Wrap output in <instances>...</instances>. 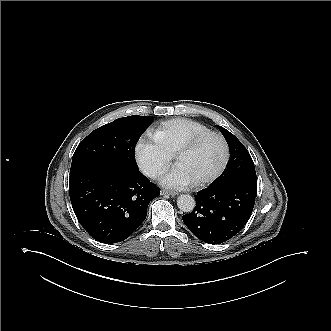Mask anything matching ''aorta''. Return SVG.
Segmentation results:
<instances>
[{
  "label": "aorta",
  "instance_id": "aorta-1",
  "mask_svg": "<svg viewBox=\"0 0 331 331\" xmlns=\"http://www.w3.org/2000/svg\"><path fill=\"white\" fill-rule=\"evenodd\" d=\"M177 206L181 211L191 213L196 206V201L189 194H181L177 198Z\"/></svg>",
  "mask_w": 331,
  "mask_h": 331
}]
</instances>
